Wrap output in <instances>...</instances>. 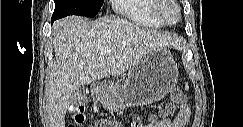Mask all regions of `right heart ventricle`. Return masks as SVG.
<instances>
[{
  "mask_svg": "<svg viewBox=\"0 0 243 127\" xmlns=\"http://www.w3.org/2000/svg\"><path fill=\"white\" fill-rule=\"evenodd\" d=\"M156 0H116L115 11L131 23L149 28L160 29L163 23L155 15Z\"/></svg>",
  "mask_w": 243,
  "mask_h": 127,
  "instance_id": "right-heart-ventricle-1",
  "label": "right heart ventricle"
}]
</instances>
